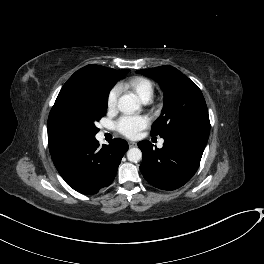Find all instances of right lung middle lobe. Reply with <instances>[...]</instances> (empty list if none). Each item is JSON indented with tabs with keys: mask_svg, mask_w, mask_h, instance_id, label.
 I'll return each instance as SVG.
<instances>
[{
	"mask_svg": "<svg viewBox=\"0 0 264 264\" xmlns=\"http://www.w3.org/2000/svg\"><path fill=\"white\" fill-rule=\"evenodd\" d=\"M129 69H108L81 74L69 79L52 107L48 126L64 141L82 142L95 138V123L106 113L108 95Z\"/></svg>",
	"mask_w": 264,
	"mask_h": 264,
	"instance_id": "dd1d6c3e",
	"label": "right lung middle lobe"
}]
</instances>
